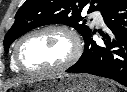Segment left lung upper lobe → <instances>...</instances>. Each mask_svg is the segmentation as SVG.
I'll use <instances>...</instances> for the list:
<instances>
[{
  "label": "left lung upper lobe",
  "instance_id": "left-lung-upper-lobe-1",
  "mask_svg": "<svg viewBox=\"0 0 127 92\" xmlns=\"http://www.w3.org/2000/svg\"><path fill=\"white\" fill-rule=\"evenodd\" d=\"M118 0H26L15 16V23L4 39L6 53L11 43L36 27L46 24L62 23L75 28L83 38L92 31L81 23L83 8L89 7L87 13L95 10L103 12Z\"/></svg>",
  "mask_w": 127,
  "mask_h": 92
}]
</instances>
